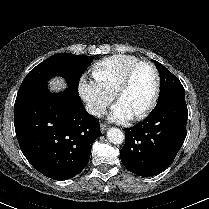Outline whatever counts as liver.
<instances>
[{"label":"liver","mask_w":209,"mask_h":209,"mask_svg":"<svg viewBox=\"0 0 209 209\" xmlns=\"http://www.w3.org/2000/svg\"><path fill=\"white\" fill-rule=\"evenodd\" d=\"M49 87L51 91L58 92L66 88V83L63 78L55 77L50 80Z\"/></svg>","instance_id":"obj_1"}]
</instances>
